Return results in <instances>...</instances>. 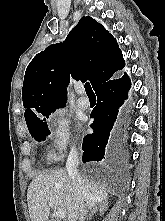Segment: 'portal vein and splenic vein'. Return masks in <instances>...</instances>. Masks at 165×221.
Masks as SVG:
<instances>
[{"label": "portal vein and splenic vein", "instance_id": "1", "mask_svg": "<svg viewBox=\"0 0 165 221\" xmlns=\"http://www.w3.org/2000/svg\"><path fill=\"white\" fill-rule=\"evenodd\" d=\"M49 206L54 208V214L57 218L64 219L66 217L65 211L61 208H57L53 201H49Z\"/></svg>", "mask_w": 165, "mask_h": 221}]
</instances>
